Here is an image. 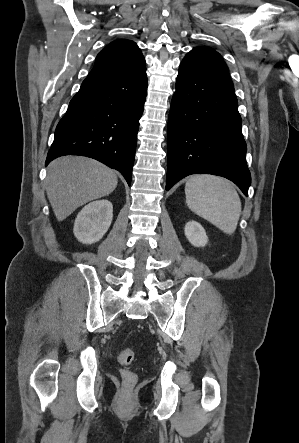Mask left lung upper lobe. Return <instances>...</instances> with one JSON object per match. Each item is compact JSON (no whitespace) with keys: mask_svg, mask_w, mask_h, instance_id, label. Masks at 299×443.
<instances>
[{"mask_svg":"<svg viewBox=\"0 0 299 443\" xmlns=\"http://www.w3.org/2000/svg\"><path fill=\"white\" fill-rule=\"evenodd\" d=\"M180 66L233 85L223 58L210 47L193 48L184 57Z\"/></svg>","mask_w":299,"mask_h":443,"instance_id":"1","label":"left lung upper lobe"}]
</instances>
